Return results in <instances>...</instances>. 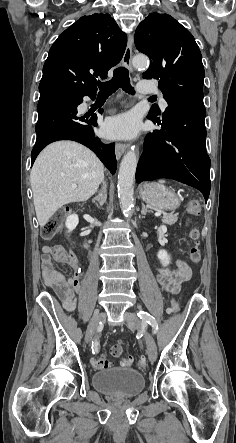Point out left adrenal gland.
<instances>
[{"mask_svg": "<svg viewBox=\"0 0 236 443\" xmlns=\"http://www.w3.org/2000/svg\"><path fill=\"white\" fill-rule=\"evenodd\" d=\"M148 212H150V211H149L147 208H145L144 204H142L141 214H142L143 216H145L146 213H148Z\"/></svg>", "mask_w": 236, "mask_h": 443, "instance_id": "left-adrenal-gland-1", "label": "left adrenal gland"}]
</instances>
